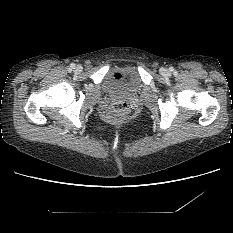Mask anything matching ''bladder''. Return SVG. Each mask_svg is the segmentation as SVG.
I'll use <instances>...</instances> for the list:
<instances>
[{
    "instance_id": "bladder-1",
    "label": "bladder",
    "mask_w": 233,
    "mask_h": 233,
    "mask_svg": "<svg viewBox=\"0 0 233 233\" xmlns=\"http://www.w3.org/2000/svg\"><path fill=\"white\" fill-rule=\"evenodd\" d=\"M102 87L107 94L130 96L140 92L142 83L138 70L132 65H127L108 70Z\"/></svg>"
}]
</instances>
